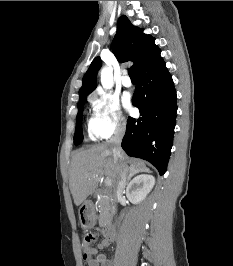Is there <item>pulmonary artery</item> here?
<instances>
[{"mask_svg": "<svg viewBox=\"0 0 233 266\" xmlns=\"http://www.w3.org/2000/svg\"><path fill=\"white\" fill-rule=\"evenodd\" d=\"M121 83L124 87H131L132 86V81L127 75V73H124L122 78H121Z\"/></svg>", "mask_w": 233, "mask_h": 266, "instance_id": "1", "label": "pulmonary artery"}]
</instances>
